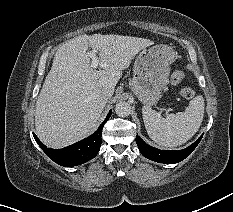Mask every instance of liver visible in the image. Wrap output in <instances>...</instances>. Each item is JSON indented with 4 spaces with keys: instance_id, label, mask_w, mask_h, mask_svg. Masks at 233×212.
<instances>
[{
    "instance_id": "liver-1",
    "label": "liver",
    "mask_w": 233,
    "mask_h": 212,
    "mask_svg": "<svg viewBox=\"0 0 233 212\" xmlns=\"http://www.w3.org/2000/svg\"><path fill=\"white\" fill-rule=\"evenodd\" d=\"M153 44L149 39L113 34L80 35L63 43L36 101L38 138L47 147L62 148L86 137L108 100L101 89L114 92L122 70ZM89 47L99 54V71L90 65Z\"/></svg>"
}]
</instances>
